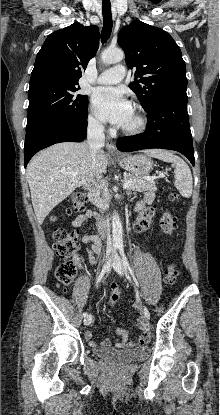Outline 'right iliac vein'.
<instances>
[{
    "instance_id": "63e3f726",
    "label": "right iliac vein",
    "mask_w": 220,
    "mask_h": 415,
    "mask_svg": "<svg viewBox=\"0 0 220 415\" xmlns=\"http://www.w3.org/2000/svg\"><path fill=\"white\" fill-rule=\"evenodd\" d=\"M106 255H108V253H107ZM105 260H106V259H103L102 264L105 262ZM91 322H92V316H91V315L87 316V317L84 319V324H85V325H89V324H91Z\"/></svg>"
}]
</instances>
